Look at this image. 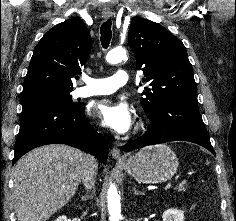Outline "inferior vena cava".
Wrapping results in <instances>:
<instances>
[{
    "label": "inferior vena cava",
    "mask_w": 236,
    "mask_h": 221,
    "mask_svg": "<svg viewBox=\"0 0 236 221\" xmlns=\"http://www.w3.org/2000/svg\"><path fill=\"white\" fill-rule=\"evenodd\" d=\"M82 183L87 190L94 187L98 163L95 157L85 154L83 160Z\"/></svg>",
    "instance_id": "obj_1"
}]
</instances>
